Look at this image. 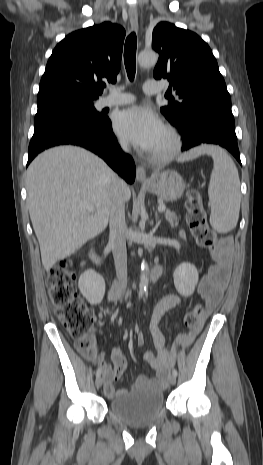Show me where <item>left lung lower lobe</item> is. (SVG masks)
I'll return each mask as SVG.
<instances>
[{"label":"left lung lower lobe","instance_id":"0a47b994","mask_svg":"<svg viewBox=\"0 0 263 465\" xmlns=\"http://www.w3.org/2000/svg\"><path fill=\"white\" fill-rule=\"evenodd\" d=\"M175 126L183 137L182 151L204 143L217 144L230 151L241 164L232 112L206 106L188 121Z\"/></svg>","mask_w":263,"mask_h":465}]
</instances>
